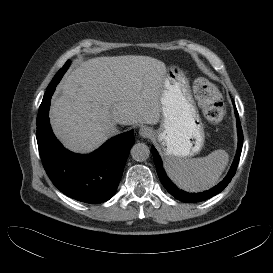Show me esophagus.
Listing matches in <instances>:
<instances>
[{"instance_id":"obj_1","label":"esophagus","mask_w":273,"mask_h":273,"mask_svg":"<svg viewBox=\"0 0 273 273\" xmlns=\"http://www.w3.org/2000/svg\"><path fill=\"white\" fill-rule=\"evenodd\" d=\"M139 134L143 138H149L152 135V132L150 128L143 126L139 129Z\"/></svg>"}]
</instances>
